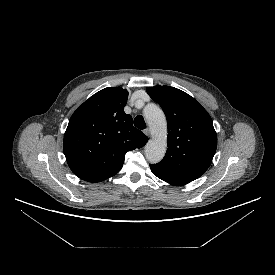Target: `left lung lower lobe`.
Wrapping results in <instances>:
<instances>
[{
    "instance_id": "1",
    "label": "left lung lower lobe",
    "mask_w": 275,
    "mask_h": 275,
    "mask_svg": "<svg viewBox=\"0 0 275 275\" xmlns=\"http://www.w3.org/2000/svg\"><path fill=\"white\" fill-rule=\"evenodd\" d=\"M150 168L154 175H156L158 178H160L161 180H163L171 185L181 186V185L188 184L192 181L184 176L164 170V169L156 166L155 164L150 165Z\"/></svg>"
}]
</instances>
